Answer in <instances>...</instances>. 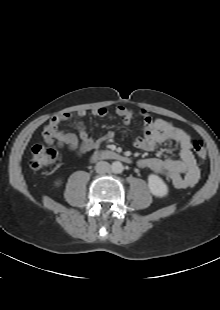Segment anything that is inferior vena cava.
<instances>
[{"instance_id":"obj_1","label":"inferior vena cava","mask_w":220,"mask_h":310,"mask_svg":"<svg viewBox=\"0 0 220 310\" xmlns=\"http://www.w3.org/2000/svg\"><path fill=\"white\" fill-rule=\"evenodd\" d=\"M95 171L99 174H105L111 171V165L106 161H99L95 166Z\"/></svg>"}]
</instances>
